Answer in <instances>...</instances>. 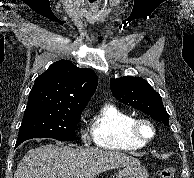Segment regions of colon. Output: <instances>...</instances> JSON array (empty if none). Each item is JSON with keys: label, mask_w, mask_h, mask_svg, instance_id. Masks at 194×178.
Segmentation results:
<instances>
[{"label": "colon", "mask_w": 194, "mask_h": 178, "mask_svg": "<svg viewBox=\"0 0 194 178\" xmlns=\"http://www.w3.org/2000/svg\"><path fill=\"white\" fill-rule=\"evenodd\" d=\"M175 171L171 167H164L159 170L160 178H174Z\"/></svg>", "instance_id": "obj_1"}]
</instances>
